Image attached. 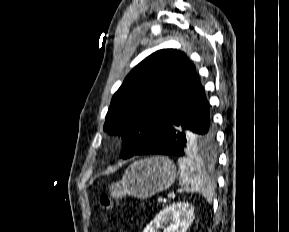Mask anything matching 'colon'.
I'll return each instance as SVG.
<instances>
[{
  "instance_id": "colon-1",
  "label": "colon",
  "mask_w": 289,
  "mask_h": 232,
  "mask_svg": "<svg viewBox=\"0 0 289 232\" xmlns=\"http://www.w3.org/2000/svg\"><path fill=\"white\" fill-rule=\"evenodd\" d=\"M100 203L103 209L106 211H111L116 205L115 200L110 195L105 193L101 194Z\"/></svg>"
}]
</instances>
